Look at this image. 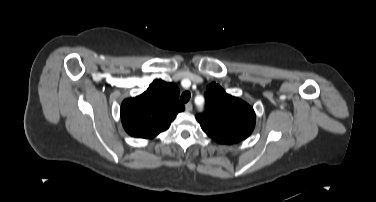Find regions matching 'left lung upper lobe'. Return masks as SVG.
<instances>
[{"label": "left lung upper lobe", "instance_id": "left-lung-upper-lobe-1", "mask_svg": "<svg viewBox=\"0 0 376 202\" xmlns=\"http://www.w3.org/2000/svg\"><path fill=\"white\" fill-rule=\"evenodd\" d=\"M206 111L196 115L203 131L223 144L246 139L255 126V112L243 100L227 94L216 83L206 88Z\"/></svg>", "mask_w": 376, "mask_h": 202}]
</instances>
